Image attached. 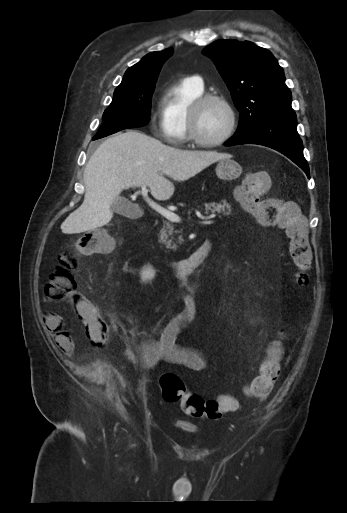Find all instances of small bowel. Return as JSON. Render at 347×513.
<instances>
[{"instance_id": "obj_1", "label": "small bowel", "mask_w": 347, "mask_h": 513, "mask_svg": "<svg viewBox=\"0 0 347 513\" xmlns=\"http://www.w3.org/2000/svg\"><path fill=\"white\" fill-rule=\"evenodd\" d=\"M181 301L182 311L166 325L157 340L145 338L136 347L124 351L128 360L146 367L168 362L196 372L206 368V359L199 351L177 344L179 334L190 324L196 313L195 300L191 294L184 293ZM45 325L53 333L57 348L65 354H73L75 344L70 332L63 329L62 319L49 314L45 318Z\"/></svg>"}]
</instances>
